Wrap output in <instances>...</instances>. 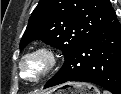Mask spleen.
<instances>
[{
  "mask_svg": "<svg viewBox=\"0 0 121 94\" xmlns=\"http://www.w3.org/2000/svg\"><path fill=\"white\" fill-rule=\"evenodd\" d=\"M103 94H108V93L106 91H104Z\"/></svg>",
  "mask_w": 121,
  "mask_h": 94,
  "instance_id": "spleen-1",
  "label": "spleen"
}]
</instances>
